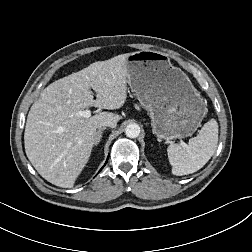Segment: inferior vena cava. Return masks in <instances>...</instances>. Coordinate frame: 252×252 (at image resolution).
I'll list each match as a JSON object with an SVG mask.
<instances>
[{"mask_svg":"<svg viewBox=\"0 0 252 252\" xmlns=\"http://www.w3.org/2000/svg\"><path fill=\"white\" fill-rule=\"evenodd\" d=\"M111 127V128H115L117 126V123L116 122H113V121H103V122H100L98 124V128L100 129L101 127Z\"/></svg>","mask_w":252,"mask_h":252,"instance_id":"inferior-vena-cava-1","label":"inferior vena cava"}]
</instances>
